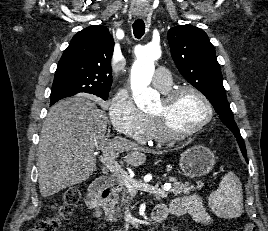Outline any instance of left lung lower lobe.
<instances>
[{"instance_id": "obj_1", "label": "left lung lower lobe", "mask_w": 268, "mask_h": 231, "mask_svg": "<svg viewBox=\"0 0 268 231\" xmlns=\"http://www.w3.org/2000/svg\"><path fill=\"white\" fill-rule=\"evenodd\" d=\"M241 152H242L244 158L246 159V162H248L247 157H246V150H241Z\"/></svg>"}]
</instances>
